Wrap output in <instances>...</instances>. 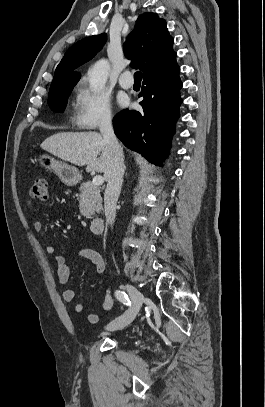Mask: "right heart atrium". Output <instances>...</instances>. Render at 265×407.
<instances>
[{"mask_svg": "<svg viewBox=\"0 0 265 407\" xmlns=\"http://www.w3.org/2000/svg\"><path fill=\"white\" fill-rule=\"evenodd\" d=\"M113 120L108 96L92 89L85 81L76 88L75 124L83 129H96L108 125Z\"/></svg>", "mask_w": 265, "mask_h": 407, "instance_id": "d8ad5b80", "label": "right heart atrium"}]
</instances>
